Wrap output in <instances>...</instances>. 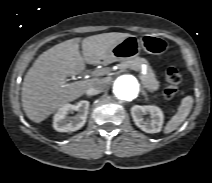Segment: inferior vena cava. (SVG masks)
<instances>
[{"label":"inferior vena cava","mask_w":212,"mask_h":183,"mask_svg":"<svg viewBox=\"0 0 212 183\" xmlns=\"http://www.w3.org/2000/svg\"><path fill=\"white\" fill-rule=\"evenodd\" d=\"M106 86V81L103 79H97L92 83V85L88 88V92L92 95L99 94L104 90Z\"/></svg>","instance_id":"obj_1"}]
</instances>
